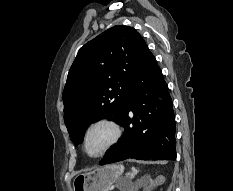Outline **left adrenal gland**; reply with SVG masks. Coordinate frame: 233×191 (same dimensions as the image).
Instances as JSON below:
<instances>
[{
	"instance_id": "1",
	"label": "left adrenal gland",
	"mask_w": 233,
	"mask_h": 191,
	"mask_svg": "<svg viewBox=\"0 0 233 191\" xmlns=\"http://www.w3.org/2000/svg\"><path fill=\"white\" fill-rule=\"evenodd\" d=\"M137 170L135 169V168H132V173H130L129 175L131 176V177H134V175L135 174H137Z\"/></svg>"
}]
</instances>
